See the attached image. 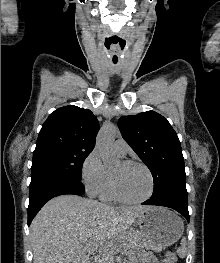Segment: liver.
<instances>
[{"label": "liver", "instance_id": "obj_1", "mask_svg": "<svg viewBox=\"0 0 220 263\" xmlns=\"http://www.w3.org/2000/svg\"><path fill=\"white\" fill-rule=\"evenodd\" d=\"M148 208H118L76 195L55 197L31 223L33 263H90L88 244L102 256Z\"/></svg>", "mask_w": 220, "mask_h": 263}]
</instances>
